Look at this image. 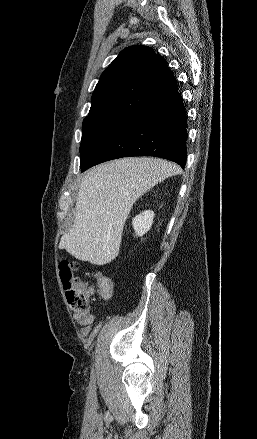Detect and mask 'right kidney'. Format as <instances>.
I'll return each instance as SVG.
<instances>
[{
	"mask_svg": "<svg viewBox=\"0 0 257 439\" xmlns=\"http://www.w3.org/2000/svg\"><path fill=\"white\" fill-rule=\"evenodd\" d=\"M154 215L153 211L146 210L133 219L132 225L137 236H143L150 230L153 224Z\"/></svg>",
	"mask_w": 257,
	"mask_h": 439,
	"instance_id": "obj_1",
	"label": "right kidney"
}]
</instances>
